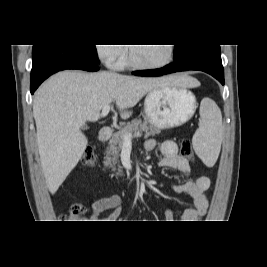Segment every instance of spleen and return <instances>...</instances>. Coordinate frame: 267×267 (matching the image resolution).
I'll list each match as a JSON object with an SVG mask.
<instances>
[{"mask_svg":"<svg viewBox=\"0 0 267 267\" xmlns=\"http://www.w3.org/2000/svg\"><path fill=\"white\" fill-rule=\"evenodd\" d=\"M222 115L213 104L209 109L201 107V121L192 144L196 154L207 166H213L219 156L222 142Z\"/></svg>","mask_w":267,"mask_h":267,"instance_id":"spleen-1","label":"spleen"}]
</instances>
